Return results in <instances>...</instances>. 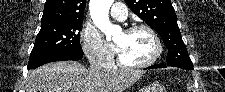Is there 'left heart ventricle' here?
Returning <instances> with one entry per match:
<instances>
[{
	"label": "left heart ventricle",
	"mask_w": 225,
	"mask_h": 92,
	"mask_svg": "<svg viewBox=\"0 0 225 92\" xmlns=\"http://www.w3.org/2000/svg\"><path fill=\"white\" fill-rule=\"evenodd\" d=\"M115 42L119 47L118 55L127 64L142 63L150 59L155 52L154 41L144 30L122 32L116 37Z\"/></svg>",
	"instance_id": "obj_1"
}]
</instances>
